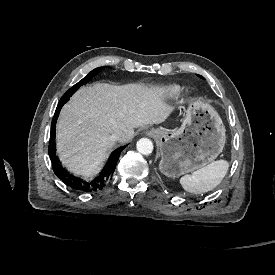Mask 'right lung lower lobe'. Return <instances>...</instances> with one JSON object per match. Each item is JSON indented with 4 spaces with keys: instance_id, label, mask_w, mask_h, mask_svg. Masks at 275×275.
Returning <instances> with one entry per match:
<instances>
[{
    "instance_id": "obj_1",
    "label": "right lung lower lobe",
    "mask_w": 275,
    "mask_h": 275,
    "mask_svg": "<svg viewBox=\"0 0 275 275\" xmlns=\"http://www.w3.org/2000/svg\"><path fill=\"white\" fill-rule=\"evenodd\" d=\"M68 100L69 99H61L59 101L55 114L53 116L52 124H51L50 143L48 147V152L52 162L53 171L60 180H62L66 185H68L69 187L77 191L91 192V191L102 189L112 177L117 161L119 159L120 153L126 146H123L117 149L111 154L105 169L102 171V173L98 177H96L93 180L87 181L69 173L66 169H64L61 166L60 161L58 160L55 154V151H56L55 150V125L62 106Z\"/></svg>"
}]
</instances>
